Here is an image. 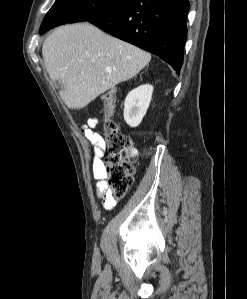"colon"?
<instances>
[{"label":"colon","mask_w":247,"mask_h":299,"mask_svg":"<svg viewBox=\"0 0 247 299\" xmlns=\"http://www.w3.org/2000/svg\"><path fill=\"white\" fill-rule=\"evenodd\" d=\"M103 103V178L113 196L123 197L133 184L138 152L130 136L124 134L113 119L115 92L104 94Z\"/></svg>","instance_id":"5ec220e1"}]
</instances>
